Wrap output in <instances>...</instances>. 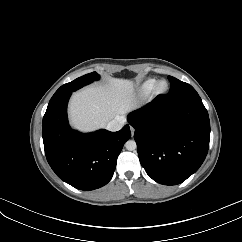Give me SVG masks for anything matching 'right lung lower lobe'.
<instances>
[{
	"label": "right lung lower lobe",
	"mask_w": 242,
	"mask_h": 242,
	"mask_svg": "<svg viewBox=\"0 0 242 242\" xmlns=\"http://www.w3.org/2000/svg\"><path fill=\"white\" fill-rule=\"evenodd\" d=\"M72 92L51 98L42 123L47 161L56 175L80 190H94L107 184L117 157L131 137L129 125L120 131L98 130L83 134L70 128L67 104Z\"/></svg>",
	"instance_id": "right-lung-lower-lobe-1"
}]
</instances>
